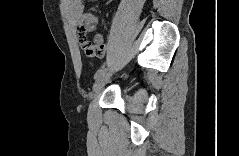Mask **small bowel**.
<instances>
[{
    "label": "small bowel",
    "instance_id": "1",
    "mask_svg": "<svg viewBox=\"0 0 239 156\" xmlns=\"http://www.w3.org/2000/svg\"><path fill=\"white\" fill-rule=\"evenodd\" d=\"M68 9H69L70 14L74 18L75 22L77 23V26H79V24L83 23L88 18H90L84 12L83 4L80 0L70 1ZM82 40H84L83 35H79V33H78V41H79L81 47H82V43H81ZM107 46H108L107 43H104L100 38L96 39V45H95L96 50L92 53L86 52V54L91 57L100 58L104 55V53L107 49Z\"/></svg>",
    "mask_w": 239,
    "mask_h": 156
}]
</instances>
